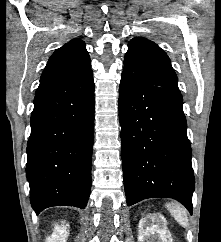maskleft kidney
Segmentation results:
<instances>
[{
  "instance_id": "1",
  "label": "left kidney",
  "mask_w": 221,
  "mask_h": 242,
  "mask_svg": "<svg viewBox=\"0 0 221 242\" xmlns=\"http://www.w3.org/2000/svg\"><path fill=\"white\" fill-rule=\"evenodd\" d=\"M139 242H173L167 221L160 213L149 214L139 221Z\"/></svg>"
}]
</instances>
